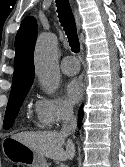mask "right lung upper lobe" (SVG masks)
I'll list each match as a JSON object with an SVG mask.
<instances>
[{"label": "right lung upper lobe", "instance_id": "obj_1", "mask_svg": "<svg viewBox=\"0 0 125 167\" xmlns=\"http://www.w3.org/2000/svg\"><path fill=\"white\" fill-rule=\"evenodd\" d=\"M37 37V22L26 17L15 38L14 75L11 94L29 90L34 79L33 51Z\"/></svg>", "mask_w": 125, "mask_h": 167}]
</instances>
